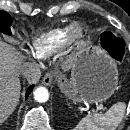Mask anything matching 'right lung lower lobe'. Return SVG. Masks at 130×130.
<instances>
[{"instance_id":"obj_1","label":"right lung lower lobe","mask_w":130,"mask_h":130,"mask_svg":"<svg viewBox=\"0 0 130 130\" xmlns=\"http://www.w3.org/2000/svg\"><path fill=\"white\" fill-rule=\"evenodd\" d=\"M33 85H31L28 89H27V92H26V98L29 96V94L31 93L32 89H33Z\"/></svg>"}]
</instances>
